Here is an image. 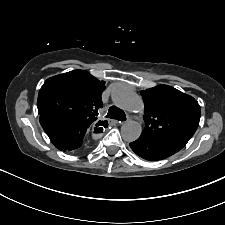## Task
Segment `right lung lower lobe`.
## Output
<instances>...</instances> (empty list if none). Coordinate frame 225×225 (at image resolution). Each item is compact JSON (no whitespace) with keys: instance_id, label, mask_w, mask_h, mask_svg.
Here are the masks:
<instances>
[{"instance_id":"1","label":"right lung lower lobe","mask_w":225,"mask_h":225,"mask_svg":"<svg viewBox=\"0 0 225 225\" xmlns=\"http://www.w3.org/2000/svg\"><path fill=\"white\" fill-rule=\"evenodd\" d=\"M40 124L57 149L71 153L86 150L85 135L93 127L82 120L55 114H41Z\"/></svg>"}]
</instances>
